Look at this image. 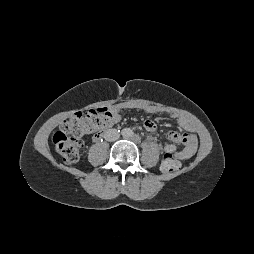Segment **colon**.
Masks as SVG:
<instances>
[{
	"label": "colon",
	"mask_w": 254,
	"mask_h": 254,
	"mask_svg": "<svg viewBox=\"0 0 254 254\" xmlns=\"http://www.w3.org/2000/svg\"><path fill=\"white\" fill-rule=\"evenodd\" d=\"M113 120V108L108 107L72 115L53 136L56 151L65 163L78 162L84 146L82 137L112 126ZM161 168L165 173H172L179 168V162L173 155H164Z\"/></svg>",
	"instance_id": "obj_1"
}]
</instances>
